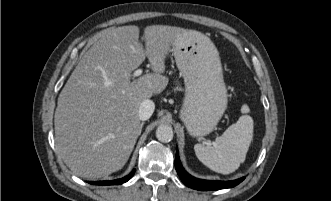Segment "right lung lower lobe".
<instances>
[{
    "label": "right lung lower lobe",
    "instance_id": "obj_1",
    "mask_svg": "<svg viewBox=\"0 0 331 201\" xmlns=\"http://www.w3.org/2000/svg\"><path fill=\"white\" fill-rule=\"evenodd\" d=\"M134 173H135V169H133V171L129 175L121 179L112 180V181H97V182H89V183L95 185H119L127 182L134 175Z\"/></svg>",
    "mask_w": 331,
    "mask_h": 201
}]
</instances>
